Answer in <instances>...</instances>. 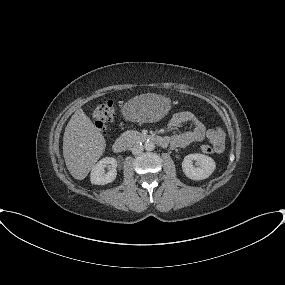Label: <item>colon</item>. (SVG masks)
<instances>
[{
    "mask_svg": "<svg viewBox=\"0 0 285 285\" xmlns=\"http://www.w3.org/2000/svg\"><path fill=\"white\" fill-rule=\"evenodd\" d=\"M115 110L112 101L107 97H101L96 100L92 117L95 125L100 130H105L107 125L114 119ZM208 139L210 144L202 146V151L205 153L221 152L225 146V132L220 127H215L209 130Z\"/></svg>",
    "mask_w": 285,
    "mask_h": 285,
    "instance_id": "5ec220e1",
    "label": "colon"
}]
</instances>
